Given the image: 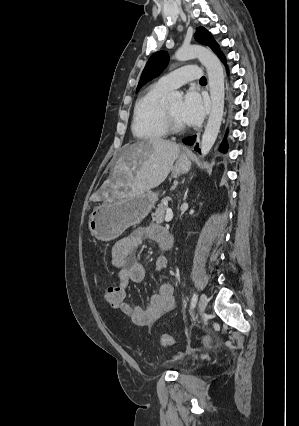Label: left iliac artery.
Returning a JSON list of instances; mask_svg holds the SVG:
<instances>
[{
  "label": "left iliac artery",
  "instance_id": "obj_1",
  "mask_svg": "<svg viewBox=\"0 0 299 426\" xmlns=\"http://www.w3.org/2000/svg\"><path fill=\"white\" fill-rule=\"evenodd\" d=\"M196 302H197V295L194 293L191 300V309L195 308Z\"/></svg>",
  "mask_w": 299,
  "mask_h": 426
}]
</instances>
